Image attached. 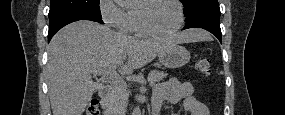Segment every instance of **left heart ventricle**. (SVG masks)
<instances>
[{
  "label": "left heart ventricle",
  "mask_w": 285,
  "mask_h": 115,
  "mask_svg": "<svg viewBox=\"0 0 285 115\" xmlns=\"http://www.w3.org/2000/svg\"><path fill=\"white\" fill-rule=\"evenodd\" d=\"M139 8V7H138ZM147 24L160 32L171 31L178 24V11L170 1L161 0L140 8Z\"/></svg>",
  "instance_id": "left-heart-ventricle-1"
}]
</instances>
